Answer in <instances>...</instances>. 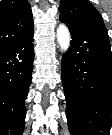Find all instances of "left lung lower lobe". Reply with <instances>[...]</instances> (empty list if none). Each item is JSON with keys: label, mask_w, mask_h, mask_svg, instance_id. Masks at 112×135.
Instances as JSON below:
<instances>
[{"label": "left lung lower lobe", "mask_w": 112, "mask_h": 135, "mask_svg": "<svg viewBox=\"0 0 112 135\" xmlns=\"http://www.w3.org/2000/svg\"><path fill=\"white\" fill-rule=\"evenodd\" d=\"M61 73L71 135H109L112 127V53L106 32L72 27Z\"/></svg>", "instance_id": "0a47b994"}]
</instances>
